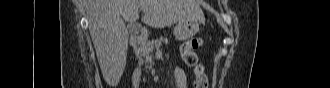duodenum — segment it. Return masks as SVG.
<instances>
[{
	"label": "duodenum",
	"mask_w": 330,
	"mask_h": 88,
	"mask_svg": "<svg viewBox=\"0 0 330 88\" xmlns=\"http://www.w3.org/2000/svg\"><path fill=\"white\" fill-rule=\"evenodd\" d=\"M146 39V34L142 29H139L132 37H131V45L136 46L142 43ZM139 74L137 73V77Z\"/></svg>",
	"instance_id": "duodenum-1"
}]
</instances>
